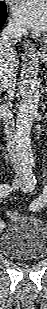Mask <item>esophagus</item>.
I'll return each instance as SVG.
<instances>
[{"mask_svg": "<svg viewBox=\"0 0 47 309\" xmlns=\"http://www.w3.org/2000/svg\"><path fill=\"white\" fill-rule=\"evenodd\" d=\"M25 54L28 56H33L36 54L35 45L30 40L25 43Z\"/></svg>", "mask_w": 47, "mask_h": 309, "instance_id": "esophagus-1", "label": "esophagus"}]
</instances>
